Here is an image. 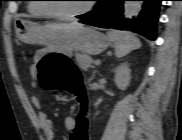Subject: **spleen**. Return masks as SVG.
<instances>
[{
    "mask_svg": "<svg viewBox=\"0 0 182 140\" xmlns=\"http://www.w3.org/2000/svg\"><path fill=\"white\" fill-rule=\"evenodd\" d=\"M107 34L108 38L114 43L115 55L118 58L124 57L132 50L141 47L140 40L132 33L112 30Z\"/></svg>",
    "mask_w": 182,
    "mask_h": 140,
    "instance_id": "1",
    "label": "spleen"
}]
</instances>
